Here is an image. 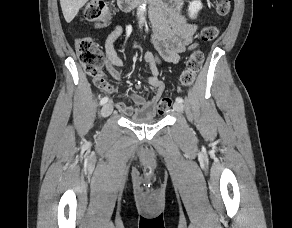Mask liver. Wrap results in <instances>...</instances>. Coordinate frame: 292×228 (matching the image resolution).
Returning a JSON list of instances; mask_svg holds the SVG:
<instances>
[{
  "label": "liver",
  "mask_w": 292,
  "mask_h": 228,
  "mask_svg": "<svg viewBox=\"0 0 292 228\" xmlns=\"http://www.w3.org/2000/svg\"><path fill=\"white\" fill-rule=\"evenodd\" d=\"M88 0H60L61 9L67 23H70Z\"/></svg>",
  "instance_id": "1"
}]
</instances>
